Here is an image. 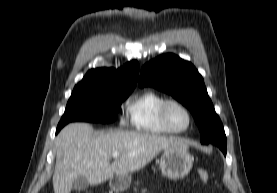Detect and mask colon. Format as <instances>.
<instances>
[{"instance_id": "obj_1", "label": "colon", "mask_w": 277, "mask_h": 193, "mask_svg": "<svg viewBox=\"0 0 277 193\" xmlns=\"http://www.w3.org/2000/svg\"><path fill=\"white\" fill-rule=\"evenodd\" d=\"M199 177L203 182H207L209 180V173L205 169H200L198 171Z\"/></svg>"}]
</instances>
